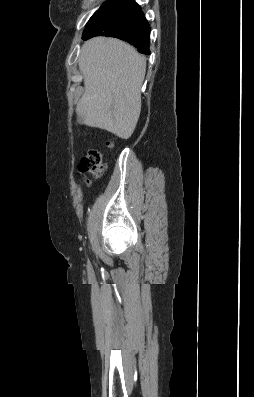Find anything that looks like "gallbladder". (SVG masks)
<instances>
[{
    "label": "gallbladder",
    "instance_id": "gallbladder-1",
    "mask_svg": "<svg viewBox=\"0 0 254 397\" xmlns=\"http://www.w3.org/2000/svg\"><path fill=\"white\" fill-rule=\"evenodd\" d=\"M77 121H78L80 124H83V118H82V117L78 116V117H77Z\"/></svg>",
    "mask_w": 254,
    "mask_h": 397
}]
</instances>
